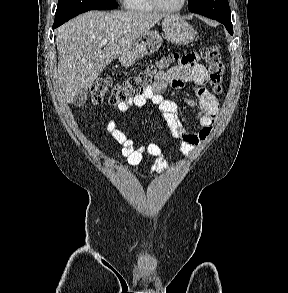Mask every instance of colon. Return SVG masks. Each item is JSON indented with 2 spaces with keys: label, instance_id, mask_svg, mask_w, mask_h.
<instances>
[{
  "label": "colon",
  "instance_id": "colon-1",
  "mask_svg": "<svg viewBox=\"0 0 288 293\" xmlns=\"http://www.w3.org/2000/svg\"><path fill=\"white\" fill-rule=\"evenodd\" d=\"M183 57L177 53L163 57L121 83H116L108 77L99 78L91 87V100L94 104H100L105 98H108L111 104L125 102L149 88L159 72L169 68L175 61L181 60ZM202 57L208 65L212 90L219 94L222 91L224 64L218 47L215 45L205 47L202 50Z\"/></svg>",
  "mask_w": 288,
  "mask_h": 293
}]
</instances>
